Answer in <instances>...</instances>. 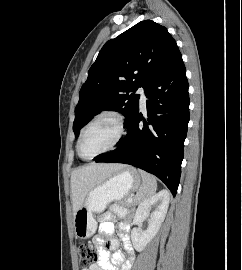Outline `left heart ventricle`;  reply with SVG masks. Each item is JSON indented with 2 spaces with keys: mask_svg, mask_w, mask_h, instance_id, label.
I'll use <instances>...</instances> for the list:
<instances>
[{
  "mask_svg": "<svg viewBox=\"0 0 242 270\" xmlns=\"http://www.w3.org/2000/svg\"><path fill=\"white\" fill-rule=\"evenodd\" d=\"M118 133L117 125L112 120H101L92 125L81 141V153L91 157L106 149L115 140Z\"/></svg>",
  "mask_w": 242,
  "mask_h": 270,
  "instance_id": "left-heart-ventricle-1",
  "label": "left heart ventricle"
}]
</instances>
